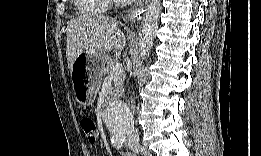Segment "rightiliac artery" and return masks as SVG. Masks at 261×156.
I'll return each mask as SVG.
<instances>
[{"mask_svg":"<svg viewBox=\"0 0 261 156\" xmlns=\"http://www.w3.org/2000/svg\"><path fill=\"white\" fill-rule=\"evenodd\" d=\"M112 144L114 147H116L117 149L121 148L123 143H124V139H112Z\"/></svg>","mask_w":261,"mask_h":156,"instance_id":"82829eb1","label":"right iliac artery"}]
</instances>
